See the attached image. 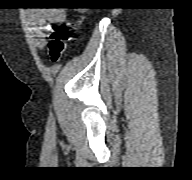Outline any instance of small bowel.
<instances>
[{
    "label": "small bowel",
    "instance_id": "small-bowel-1",
    "mask_svg": "<svg viewBox=\"0 0 192 180\" xmlns=\"http://www.w3.org/2000/svg\"><path fill=\"white\" fill-rule=\"evenodd\" d=\"M66 21V13L60 8H38L29 10L27 22L33 34L34 43L37 48L44 49L46 46L45 31L53 25L61 24Z\"/></svg>",
    "mask_w": 192,
    "mask_h": 180
}]
</instances>
